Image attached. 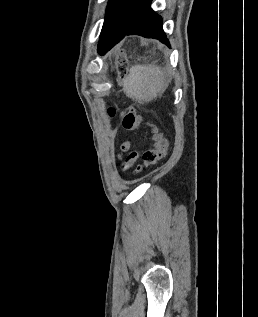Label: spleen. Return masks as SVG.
<instances>
[{
  "label": "spleen",
  "instance_id": "3e777b00",
  "mask_svg": "<svg viewBox=\"0 0 258 317\" xmlns=\"http://www.w3.org/2000/svg\"><path fill=\"white\" fill-rule=\"evenodd\" d=\"M168 82L160 66L135 64L123 80V90L126 96L137 102H149L166 90Z\"/></svg>",
  "mask_w": 258,
  "mask_h": 317
}]
</instances>
